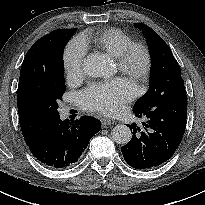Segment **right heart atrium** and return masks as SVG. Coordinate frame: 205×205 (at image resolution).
Masks as SVG:
<instances>
[{
  "instance_id": "right-heart-atrium-1",
  "label": "right heart atrium",
  "mask_w": 205,
  "mask_h": 205,
  "mask_svg": "<svg viewBox=\"0 0 205 205\" xmlns=\"http://www.w3.org/2000/svg\"><path fill=\"white\" fill-rule=\"evenodd\" d=\"M86 46L79 37L71 39L63 53V63L69 79H78L82 75Z\"/></svg>"
}]
</instances>
